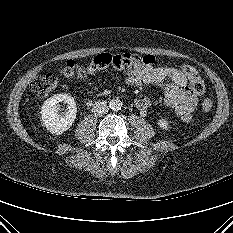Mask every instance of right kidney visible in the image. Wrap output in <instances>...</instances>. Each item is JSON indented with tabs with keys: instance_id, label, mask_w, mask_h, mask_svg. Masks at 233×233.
Masks as SVG:
<instances>
[{
	"instance_id": "obj_1",
	"label": "right kidney",
	"mask_w": 233,
	"mask_h": 233,
	"mask_svg": "<svg viewBox=\"0 0 233 233\" xmlns=\"http://www.w3.org/2000/svg\"><path fill=\"white\" fill-rule=\"evenodd\" d=\"M68 104V110L64 115L59 114V103ZM77 107L71 95L56 94L47 99L41 110V122L52 134L60 135L68 130L76 119Z\"/></svg>"
}]
</instances>
